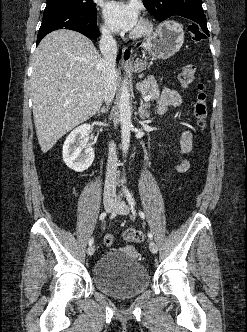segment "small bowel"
I'll use <instances>...</instances> for the list:
<instances>
[{"label":"small bowel","instance_id":"1","mask_svg":"<svg viewBox=\"0 0 247 332\" xmlns=\"http://www.w3.org/2000/svg\"><path fill=\"white\" fill-rule=\"evenodd\" d=\"M169 105L179 107L181 105V100L179 95L170 89H165L157 103L158 114H163ZM181 152L187 154L192 149V133L188 130L184 131L181 140ZM188 162L186 160H181L175 167L177 172H184L188 169Z\"/></svg>","mask_w":247,"mask_h":332}]
</instances>
